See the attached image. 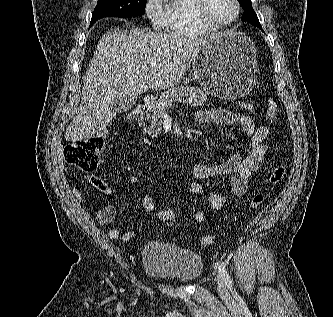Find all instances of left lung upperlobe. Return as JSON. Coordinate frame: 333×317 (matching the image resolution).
Instances as JSON below:
<instances>
[{
	"instance_id": "1",
	"label": "left lung upper lobe",
	"mask_w": 333,
	"mask_h": 317,
	"mask_svg": "<svg viewBox=\"0 0 333 317\" xmlns=\"http://www.w3.org/2000/svg\"><path fill=\"white\" fill-rule=\"evenodd\" d=\"M238 2L244 9V15L241 18L242 21L252 23L262 30L258 17L252 8L251 0H238Z\"/></svg>"
}]
</instances>
